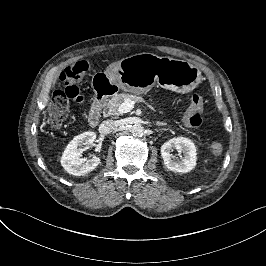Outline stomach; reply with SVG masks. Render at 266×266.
Segmentation results:
<instances>
[{
    "label": "stomach",
    "instance_id": "1",
    "mask_svg": "<svg viewBox=\"0 0 266 266\" xmlns=\"http://www.w3.org/2000/svg\"><path fill=\"white\" fill-rule=\"evenodd\" d=\"M160 66L156 73L143 74L137 71L132 78L124 76L119 70V75L107 73L105 76L115 90L112 93L104 94L102 97L110 96L117 98L118 91L124 89L126 92L135 94L147 93L155 84L158 83L164 89L171 90L178 94H187L197 87L202 81L200 69L184 60L174 59L171 57L158 58Z\"/></svg>",
    "mask_w": 266,
    "mask_h": 266
}]
</instances>
